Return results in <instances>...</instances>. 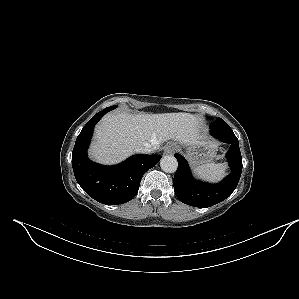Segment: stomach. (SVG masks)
Returning a JSON list of instances; mask_svg holds the SVG:
<instances>
[{
    "label": "stomach",
    "mask_w": 299,
    "mask_h": 299,
    "mask_svg": "<svg viewBox=\"0 0 299 299\" xmlns=\"http://www.w3.org/2000/svg\"><path fill=\"white\" fill-rule=\"evenodd\" d=\"M178 150L186 149V156L193 165L211 162L216 155L217 145L213 142L200 141L188 146L177 145Z\"/></svg>",
    "instance_id": "0dacf381"
}]
</instances>
